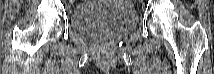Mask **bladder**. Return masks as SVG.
<instances>
[{
  "label": "bladder",
  "mask_w": 214,
  "mask_h": 74,
  "mask_svg": "<svg viewBox=\"0 0 214 74\" xmlns=\"http://www.w3.org/2000/svg\"><path fill=\"white\" fill-rule=\"evenodd\" d=\"M70 28L79 36L91 37L99 30L122 37L137 23L136 12L118 1L81 2L70 14Z\"/></svg>",
  "instance_id": "bladder-1"
}]
</instances>
